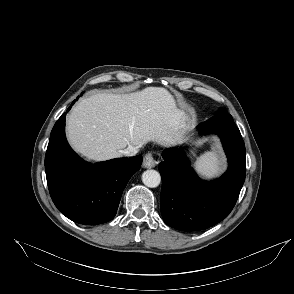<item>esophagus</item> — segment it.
Listing matches in <instances>:
<instances>
[{"instance_id":"1","label":"esophagus","mask_w":294,"mask_h":294,"mask_svg":"<svg viewBox=\"0 0 294 294\" xmlns=\"http://www.w3.org/2000/svg\"><path fill=\"white\" fill-rule=\"evenodd\" d=\"M156 166V161L154 160L152 154L148 153L143 158V167L144 168H153Z\"/></svg>"}]
</instances>
